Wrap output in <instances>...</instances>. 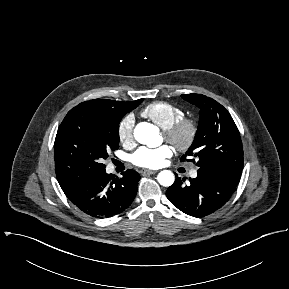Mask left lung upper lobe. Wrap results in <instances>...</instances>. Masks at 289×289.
I'll use <instances>...</instances> for the list:
<instances>
[{
	"instance_id": "5c2ea615",
	"label": "left lung upper lobe",
	"mask_w": 289,
	"mask_h": 289,
	"mask_svg": "<svg viewBox=\"0 0 289 289\" xmlns=\"http://www.w3.org/2000/svg\"><path fill=\"white\" fill-rule=\"evenodd\" d=\"M181 97L200 108V120L186 156L197 157L196 165L242 172L243 147L240 133L229 112L217 101L201 94ZM181 161L187 160L183 155ZM191 161L194 162V159Z\"/></svg>"
}]
</instances>
